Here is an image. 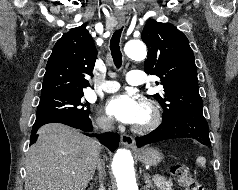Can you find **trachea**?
I'll list each match as a JSON object with an SVG mask.
<instances>
[{
  "label": "trachea",
  "mask_w": 238,
  "mask_h": 190,
  "mask_svg": "<svg viewBox=\"0 0 238 190\" xmlns=\"http://www.w3.org/2000/svg\"><path fill=\"white\" fill-rule=\"evenodd\" d=\"M122 30L123 28L116 30L113 33L112 38L110 40L111 55H112L114 64L117 68H120L122 65V53L120 51V46H119Z\"/></svg>",
  "instance_id": "1"
}]
</instances>
